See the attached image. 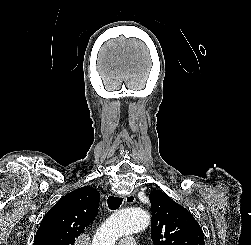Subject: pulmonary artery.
Masks as SVG:
<instances>
[{
  "label": "pulmonary artery",
  "instance_id": "e3ab8cb5",
  "mask_svg": "<svg viewBox=\"0 0 251 245\" xmlns=\"http://www.w3.org/2000/svg\"><path fill=\"white\" fill-rule=\"evenodd\" d=\"M119 245H136V242L132 238H128L121 240Z\"/></svg>",
  "mask_w": 251,
  "mask_h": 245
}]
</instances>
